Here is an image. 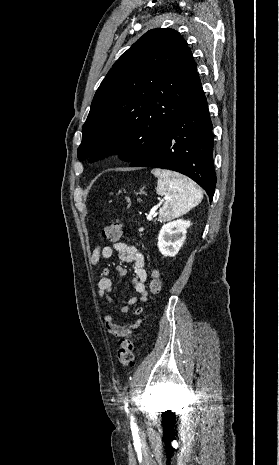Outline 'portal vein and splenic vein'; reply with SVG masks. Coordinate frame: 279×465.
I'll list each match as a JSON object with an SVG mask.
<instances>
[{
  "instance_id": "portal-vein-and-splenic-vein-1",
  "label": "portal vein and splenic vein",
  "mask_w": 279,
  "mask_h": 465,
  "mask_svg": "<svg viewBox=\"0 0 279 465\" xmlns=\"http://www.w3.org/2000/svg\"><path fill=\"white\" fill-rule=\"evenodd\" d=\"M153 214H154V212H150V213L146 216L147 220H152Z\"/></svg>"
}]
</instances>
